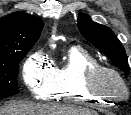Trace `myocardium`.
Listing matches in <instances>:
<instances>
[{"label":"myocardium","instance_id":"obj_1","mask_svg":"<svg viewBox=\"0 0 131 115\" xmlns=\"http://www.w3.org/2000/svg\"><path fill=\"white\" fill-rule=\"evenodd\" d=\"M103 75H109L115 78L121 86L120 92L105 91L100 85V79ZM83 88L94 96L109 100H119L128 94L126 82L120 73L113 68L100 64L86 69L83 77Z\"/></svg>","mask_w":131,"mask_h":115}]
</instances>
